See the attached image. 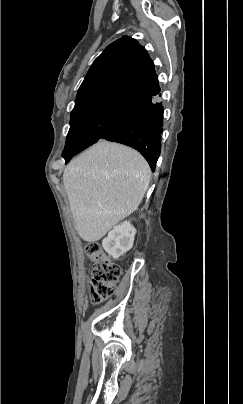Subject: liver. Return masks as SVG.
<instances>
[{"label": "liver", "instance_id": "6515ba94", "mask_svg": "<svg viewBox=\"0 0 243 404\" xmlns=\"http://www.w3.org/2000/svg\"><path fill=\"white\" fill-rule=\"evenodd\" d=\"M150 174L139 152L104 140L71 160L62 180L80 238L97 242L135 212L150 184Z\"/></svg>", "mask_w": 243, "mask_h": 404}]
</instances>
